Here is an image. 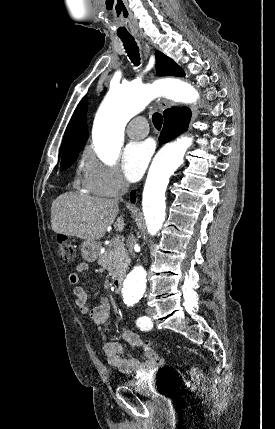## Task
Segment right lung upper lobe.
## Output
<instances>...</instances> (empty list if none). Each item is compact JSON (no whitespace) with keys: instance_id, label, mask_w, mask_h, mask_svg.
I'll use <instances>...</instances> for the list:
<instances>
[{"instance_id":"right-lung-upper-lobe-1","label":"right lung upper lobe","mask_w":275,"mask_h":429,"mask_svg":"<svg viewBox=\"0 0 275 429\" xmlns=\"http://www.w3.org/2000/svg\"><path fill=\"white\" fill-rule=\"evenodd\" d=\"M86 109L87 102L84 99L77 106L66 128L61 145L62 158L79 153L85 145V141L88 138Z\"/></svg>"}]
</instances>
